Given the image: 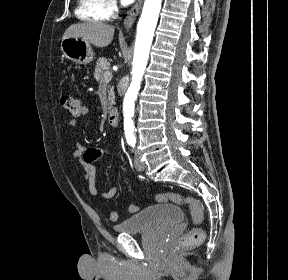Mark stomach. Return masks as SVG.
<instances>
[{
    "label": "stomach",
    "mask_w": 288,
    "mask_h": 280,
    "mask_svg": "<svg viewBox=\"0 0 288 280\" xmlns=\"http://www.w3.org/2000/svg\"><path fill=\"white\" fill-rule=\"evenodd\" d=\"M61 50L64 56L81 65H87L93 59L91 45L80 38H65L61 42Z\"/></svg>",
    "instance_id": "0dacf381"
}]
</instances>
